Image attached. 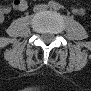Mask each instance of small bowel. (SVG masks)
<instances>
[{
	"mask_svg": "<svg viewBox=\"0 0 91 91\" xmlns=\"http://www.w3.org/2000/svg\"><path fill=\"white\" fill-rule=\"evenodd\" d=\"M12 8L18 11H24L27 8V2L25 0H15L12 3ZM10 9H7L8 12ZM76 13H82V9L77 8L74 10Z\"/></svg>",
	"mask_w": 91,
	"mask_h": 91,
	"instance_id": "obj_1",
	"label": "small bowel"
}]
</instances>
